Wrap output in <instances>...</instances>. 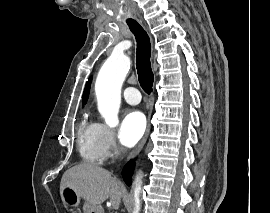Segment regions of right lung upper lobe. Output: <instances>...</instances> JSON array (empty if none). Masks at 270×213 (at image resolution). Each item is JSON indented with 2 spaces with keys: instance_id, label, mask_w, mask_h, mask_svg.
Returning a JSON list of instances; mask_svg holds the SVG:
<instances>
[{
  "instance_id": "right-lung-upper-lobe-1",
  "label": "right lung upper lobe",
  "mask_w": 270,
  "mask_h": 213,
  "mask_svg": "<svg viewBox=\"0 0 270 213\" xmlns=\"http://www.w3.org/2000/svg\"><path fill=\"white\" fill-rule=\"evenodd\" d=\"M90 83L91 80H89L85 86V90L83 93V102L85 103L87 101L88 95H89V90H90Z\"/></svg>"
}]
</instances>
